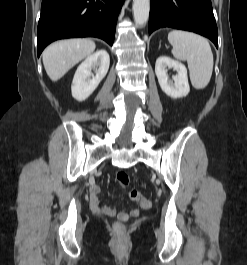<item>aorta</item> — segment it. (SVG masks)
<instances>
[{
  "label": "aorta",
  "instance_id": "762f6f07",
  "mask_svg": "<svg viewBox=\"0 0 247 265\" xmlns=\"http://www.w3.org/2000/svg\"><path fill=\"white\" fill-rule=\"evenodd\" d=\"M150 0H133V16L137 25L143 26L149 18Z\"/></svg>",
  "mask_w": 247,
  "mask_h": 265
}]
</instances>
